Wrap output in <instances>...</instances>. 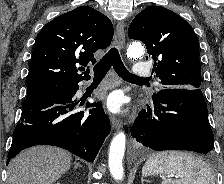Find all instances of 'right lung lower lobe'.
I'll list each match as a JSON object with an SVG mask.
<instances>
[{"label":"right lung lower lobe","mask_w":224,"mask_h":184,"mask_svg":"<svg viewBox=\"0 0 224 184\" xmlns=\"http://www.w3.org/2000/svg\"><path fill=\"white\" fill-rule=\"evenodd\" d=\"M78 82H69L28 96L15 127L8 161L34 145L58 146L93 162L110 133V121L99 102L89 112L73 113Z\"/></svg>","instance_id":"1"}]
</instances>
